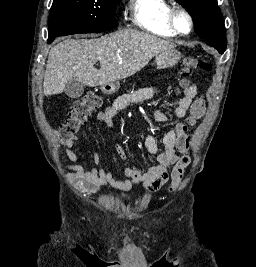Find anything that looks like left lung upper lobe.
<instances>
[{
	"label": "left lung upper lobe",
	"instance_id": "1",
	"mask_svg": "<svg viewBox=\"0 0 256 267\" xmlns=\"http://www.w3.org/2000/svg\"><path fill=\"white\" fill-rule=\"evenodd\" d=\"M191 14L195 32L223 54L226 49L225 27L217 0H176Z\"/></svg>",
	"mask_w": 256,
	"mask_h": 267
}]
</instances>
